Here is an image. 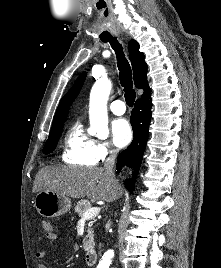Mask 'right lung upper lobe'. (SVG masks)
Here are the masks:
<instances>
[{"instance_id": "cb5924a9", "label": "right lung upper lobe", "mask_w": 221, "mask_h": 268, "mask_svg": "<svg viewBox=\"0 0 221 268\" xmlns=\"http://www.w3.org/2000/svg\"><path fill=\"white\" fill-rule=\"evenodd\" d=\"M129 56L133 69V79L135 87L142 88L144 90V93L140 98L146 97L151 94V89L149 88L147 83V64L144 61V54L139 51V44L133 39L129 42ZM85 78L86 72L82 73L78 77L71 89L61 99L54 117L52 127L64 123L70 105L78 96L85 81Z\"/></svg>"}]
</instances>
